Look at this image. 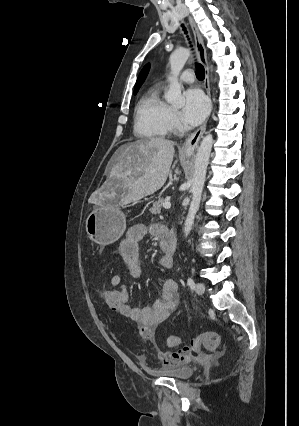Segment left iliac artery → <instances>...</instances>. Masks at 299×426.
Segmentation results:
<instances>
[{"mask_svg": "<svg viewBox=\"0 0 299 426\" xmlns=\"http://www.w3.org/2000/svg\"><path fill=\"white\" fill-rule=\"evenodd\" d=\"M187 283H188L189 287H190L192 290H194V288H195V283H194V280H193L191 277H189V278L187 279Z\"/></svg>", "mask_w": 299, "mask_h": 426, "instance_id": "left-iliac-artery-1", "label": "left iliac artery"}]
</instances>
